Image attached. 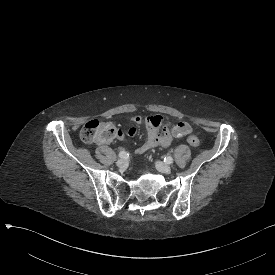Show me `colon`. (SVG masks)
<instances>
[{"instance_id": "1", "label": "colon", "mask_w": 275, "mask_h": 275, "mask_svg": "<svg viewBox=\"0 0 275 275\" xmlns=\"http://www.w3.org/2000/svg\"><path fill=\"white\" fill-rule=\"evenodd\" d=\"M121 128H117L111 122H104L99 120L87 121L80 131V137L85 143H100L108 142L117 139V132ZM118 140V139H117ZM187 141L191 146H198L199 139L190 134Z\"/></svg>"}]
</instances>
